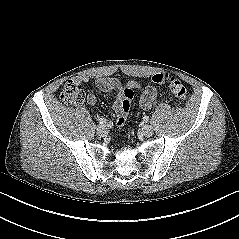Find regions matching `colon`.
<instances>
[{"instance_id":"1","label":"colon","mask_w":239,"mask_h":239,"mask_svg":"<svg viewBox=\"0 0 239 239\" xmlns=\"http://www.w3.org/2000/svg\"><path fill=\"white\" fill-rule=\"evenodd\" d=\"M152 81L156 84L168 83L171 92L180 100L186 101L188 99V92L185 86L175 76L167 72H158L152 76ZM134 98V91L131 87H126L123 90V99L120 105V111L116 118V125L118 128L124 127L128 112L131 108V103ZM61 99L65 103L80 105L85 101V94L79 88V85L73 80H68L62 88Z\"/></svg>"}]
</instances>
